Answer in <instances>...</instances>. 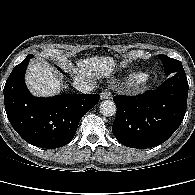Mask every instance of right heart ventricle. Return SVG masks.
<instances>
[{"instance_id": "1", "label": "right heart ventricle", "mask_w": 195, "mask_h": 195, "mask_svg": "<svg viewBox=\"0 0 195 195\" xmlns=\"http://www.w3.org/2000/svg\"><path fill=\"white\" fill-rule=\"evenodd\" d=\"M144 78L145 74L143 73H133L127 77V82L131 85H136L140 83Z\"/></svg>"}]
</instances>
